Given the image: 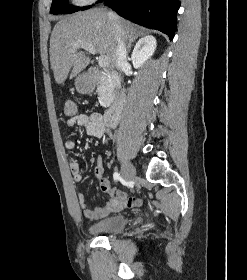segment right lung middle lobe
<instances>
[{"mask_svg":"<svg viewBox=\"0 0 247 280\" xmlns=\"http://www.w3.org/2000/svg\"><path fill=\"white\" fill-rule=\"evenodd\" d=\"M67 3H68V0H53L50 12L52 14L57 15L59 13L65 14V13L76 12V11H79L80 9L85 10V9H88L89 7H91V6H87V7H82V8H79V7L70 8Z\"/></svg>","mask_w":247,"mask_h":280,"instance_id":"obj_1","label":"right lung middle lobe"}]
</instances>
